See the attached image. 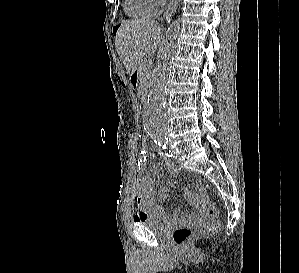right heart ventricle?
I'll list each match as a JSON object with an SVG mask.
<instances>
[{
    "instance_id": "e07e8e85",
    "label": "right heart ventricle",
    "mask_w": 299,
    "mask_h": 273,
    "mask_svg": "<svg viewBox=\"0 0 299 273\" xmlns=\"http://www.w3.org/2000/svg\"><path fill=\"white\" fill-rule=\"evenodd\" d=\"M124 9L128 15L135 18H148L154 13L144 0H125Z\"/></svg>"
}]
</instances>
